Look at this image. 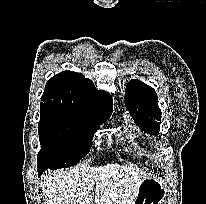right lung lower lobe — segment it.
Here are the masks:
<instances>
[{
	"label": "right lung lower lobe",
	"instance_id": "right-lung-lower-lobe-1",
	"mask_svg": "<svg viewBox=\"0 0 206 204\" xmlns=\"http://www.w3.org/2000/svg\"><path fill=\"white\" fill-rule=\"evenodd\" d=\"M45 169L43 168H38V176H40L43 172H44Z\"/></svg>",
	"mask_w": 206,
	"mask_h": 204
}]
</instances>
